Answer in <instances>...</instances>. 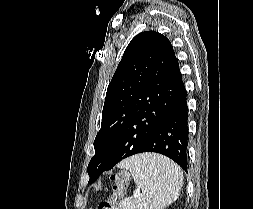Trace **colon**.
<instances>
[{"mask_svg": "<svg viewBox=\"0 0 253 209\" xmlns=\"http://www.w3.org/2000/svg\"><path fill=\"white\" fill-rule=\"evenodd\" d=\"M129 175L127 173H118L114 176V185L112 195L108 200L102 201L98 209H116L117 201L124 195Z\"/></svg>", "mask_w": 253, "mask_h": 209, "instance_id": "colon-1", "label": "colon"}]
</instances>
